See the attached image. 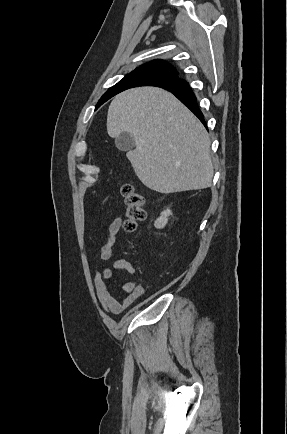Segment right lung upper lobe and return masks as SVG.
<instances>
[{"instance_id": "1", "label": "right lung upper lobe", "mask_w": 287, "mask_h": 434, "mask_svg": "<svg viewBox=\"0 0 287 434\" xmlns=\"http://www.w3.org/2000/svg\"><path fill=\"white\" fill-rule=\"evenodd\" d=\"M138 68H147V69H160V70H164L167 71L169 73H172L173 75H175V79L169 80V81H165V82H161V83H156L153 84V86H158V87H163L166 86L168 84L177 82L181 79L178 78L177 76V71L174 69V67L172 65H170L169 63L163 61V60H153L149 63L143 64ZM137 69V68H136Z\"/></svg>"}]
</instances>
